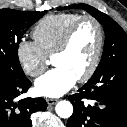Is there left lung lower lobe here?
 Listing matches in <instances>:
<instances>
[{
	"label": "left lung lower lobe",
	"mask_w": 127,
	"mask_h": 127,
	"mask_svg": "<svg viewBox=\"0 0 127 127\" xmlns=\"http://www.w3.org/2000/svg\"><path fill=\"white\" fill-rule=\"evenodd\" d=\"M78 91L69 96L74 111L67 127H127V62L93 75Z\"/></svg>",
	"instance_id": "1"
}]
</instances>
